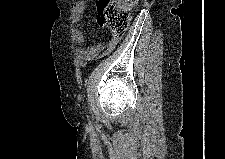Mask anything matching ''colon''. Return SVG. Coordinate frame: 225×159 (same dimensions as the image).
<instances>
[{
	"label": "colon",
	"mask_w": 225,
	"mask_h": 159,
	"mask_svg": "<svg viewBox=\"0 0 225 159\" xmlns=\"http://www.w3.org/2000/svg\"><path fill=\"white\" fill-rule=\"evenodd\" d=\"M137 2L138 0H100V20L110 29L111 36L121 37L125 33Z\"/></svg>",
	"instance_id": "colon-1"
}]
</instances>
